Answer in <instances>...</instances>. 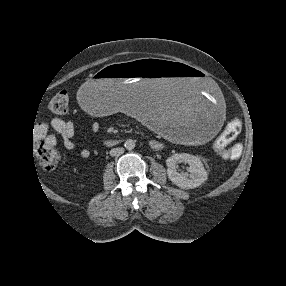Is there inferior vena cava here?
Masks as SVG:
<instances>
[{
    "label": "inferior vena cava",
    "instance_id": "1",
    "mask_svg": "<svg viewBox=\"0 0 286 286\" xmlns=\"http://www.w3.org/2000/svg\"><path fill=\"white\" fill-rule=\"evenodd\" d=\"M124 153L123 148H113L110 150V156L115 157V156H120Z\"/></svg>",
    "mask_w": 286,
    "mask_h": 286
}]
</instances>
